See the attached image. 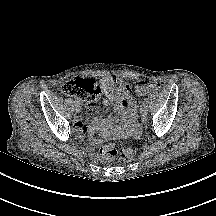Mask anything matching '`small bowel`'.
Returning a JSON list of instances; mask_svg holds the SVG:
<instances>
[{"label": "small bowel", "mask_w": 216, "mask_h": 216, "mask_svg": "<svg viewBox=\"0 0 216 216\" xmlns=\"http://www.w3.org/2000/svg\"><path fill=\"white\" fill-rule=\"evenodd\" d=\"M101 84L107 97L103 104L112 103L120 121L117 117L109 116L106 119L93 120L86 126L84 117L79 114L75 115L74 129L76 133L80 136H88L93 144L127 137L137 132L135 119L138 100L134 96L132 87L122 80L111 77L104 78ZM85 106L88 110H91L94 108V103H86Z\"/></svg>", "instance_id": "c3829d8e"}]
</instances>
